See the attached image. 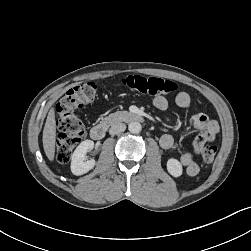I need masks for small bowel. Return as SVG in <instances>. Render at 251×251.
<instances>
[{
  "mask_svg": "<svg viewBox=\"0 0 251 251\" xmlns=\"http://www.w3.org/2000/svg\"><path fill=\"white\" fill-rule=\"evenodd\" d=\"M176 105L180 108H187L190 105L191 99L188 93L180 92L175 98ZM153 105L160 111H166L169 107V102L164 96H157L153 99ZM192 127L199 132L194 140L193 148L194 155L188 152H183L179 155L178 160L185 168L187 175L195 176L199 172V165L196 161V156L201 153L202 148L207 142L215 139L219 126L216 121L209 119L203 113H196L191 117ZM160 145L165 150H170L174 147V139L171 135L165 134L160 138Z\"/></svg>",
  "mask_w": 251,
  "mask_h": 251,
  "instance_id": "c3829d8e",
  "label": "small bowel"
}]
</instances>
